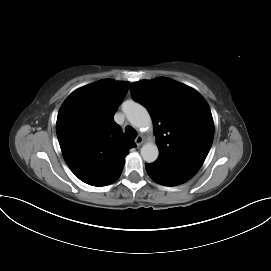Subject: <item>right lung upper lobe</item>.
<instances>
[{"label": "right lung upper lobe", "mask_w": 271, "mask_h": 271, "mask_svg": "<svg viewBox=\"0 0 271 271\" xmlns=\"http://www.w3.org/2000/svg\"><path fill=\"white\" fill-rule=\"evenodd\" d=\"M128 86L129 82L100 80L74 91L59 110L56 131L64 159L87 184L112 181L135 146L113 119Z\"/></svg>", "instance_id": "right-lung-upper-lobe-1"}]
</instances>
